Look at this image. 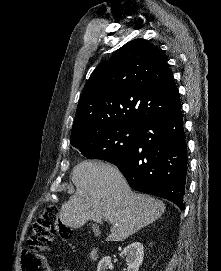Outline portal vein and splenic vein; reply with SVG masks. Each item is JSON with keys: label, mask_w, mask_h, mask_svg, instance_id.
Segmentation results:
<instances>
[{"label": "portal vein and splenic vein", "mask_w": 221, "mask_h": 271, "mask_svg": "<svg viewBox=\"0 0 221 271\" xmlns=\"http://www.w3.org/2000/svg\"><path fill=\"white\" fill-rule=\"evenodd\" d=\"M105 221H107V217H105Z\"/></svg>", "instance_id": "1"}]
</instances>
